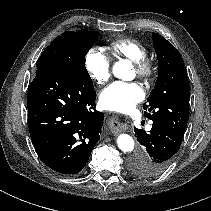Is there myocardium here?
Wrapping results in <instances>:
<instances>
[{"label": "myocardium", "instance_id": "obj_1", "mask_svg": "<svg viewBox=\"0 0 211 211\" xmlns=\"http://www.w3.org/2000/svg\"><path fill=\"white\" fill-rule=\"evenodd\" d=\"M134 66L137 74L143 79H149L154 73L153 63L146 57L137 61H134Z\"/></svg>", "mask_w": 211, "mask_h": 211}]
</instances>
